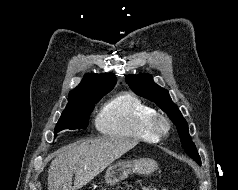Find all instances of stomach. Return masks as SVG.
Segmentation results:
<instances>
[{
  "mask_svg": "<svg viewBox=\"0 0 238 190\" xmlns=\"http://www.w3.org/2000/svg\"><path fill=\"white\" fill-rule=\"evenodd\" d=\"M156 169H158L157 162L150 158H142L133 162L119 161L108 167L104 177L105 183L112 186L126 179L131 173L149 175Z\"/></svg>",
  "mask_w": 238,
  "mask_h": 190,
  "instance_id": "0dacf381",
  "label": "stomach"
}]
</instances>
